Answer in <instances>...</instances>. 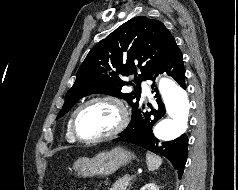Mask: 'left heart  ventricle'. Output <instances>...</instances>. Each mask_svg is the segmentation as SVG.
<instances>
[{
	"instance_id": "b2bd125f",
	"label": "left heart ventricle",
	"mask_w": 238,
	"mask_h": 190,
	"mask_svg": "<svg viewBox=\"0 0 238 190\" xmlns=\"http://www.w3.org/2000/svg\"><path fill=\"white\" fill-rule=\"evenodd\" d=\"M116 108L104 102L85 107L78 115L76 126L83 137H96L111 131L118 123Z\"/></svg>"
}]
</instances>
